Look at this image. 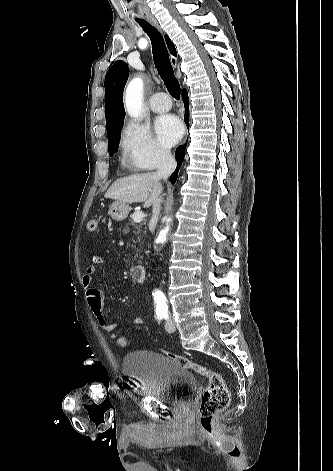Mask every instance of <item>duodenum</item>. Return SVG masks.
Instances as JSON below:
<instances>
[{"mask_svg":"<svg viewBox=\"0 0 333 471\" xmlns=\"http://www.w3.org/2000/svg\"><path fill=\"white\" fill-rule=\"evenodd\" d=\"M132 278L137 282H143L145 279V268L142 265H134L130 269Z\"/></svg>","mask_w":333,"mask_h":471,"instance_id":"1","label":"duodenum"}]
</instances>
